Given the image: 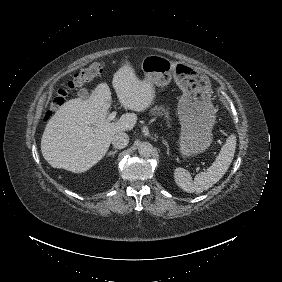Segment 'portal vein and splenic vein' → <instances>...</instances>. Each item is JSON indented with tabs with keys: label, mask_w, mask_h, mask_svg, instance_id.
Wrapping results in <instances>:
<instances>
[{
	"label": "portal vein and splenic vein",
	"mask_w": 282,
	"mask_h": 282,
	"mask_svg": "<svg viewBox=\"0 0 282 282\" xmlns=\"http://www.w3.org/2000/svg\"><path fill=\"white\" fill-rule=\"evenodd\" d=\"M114 118H115V113L109 114L106 118V121L111 122L113 121Z\"/></svg>",
	"instance_id": "1"
}]
</instances>
